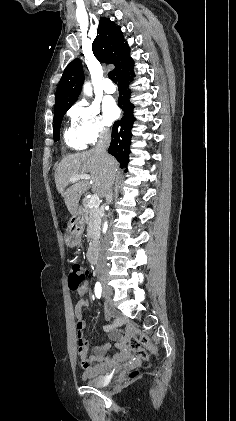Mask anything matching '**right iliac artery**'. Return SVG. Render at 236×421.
I'll list each match as a JSON object with an SVG mask.
<instances>
[{"mask_svg": "<svg viewBox=\"0 0 236 421\" xmlns=\"http://www.w3.org/2000/svg\"><path fill=\"white\" fill-rule=\"evenodd\" d=\"M101 293H102V286H101L100 282H96V284H95V295H96V297L100 298Z\"/></svg>", "mask_w": 236, "mask_h": 421, "instance_id": "82829eb1", "label": "right iliac artery"}]
</instances>
